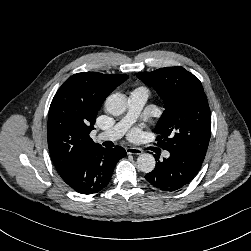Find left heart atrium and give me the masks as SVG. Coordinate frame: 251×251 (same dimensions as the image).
<instances>
[{
    "label": "left heart atrium",
    "instance_id": "1",
    "mask_svg": "<svg viewBox=\"0 0 251 251\" xmlns=\"http://www.w3.org/2000/svg\"><path fill=\"white\" fill-rule=\"evenodd\" d=\"M139 134H140V130H139L138 128H135V129H133V130L129 133V137H130L131 139H135V138H137V137L139 136Z\"/></svg>",
    "mask_w": 251,
    "mask_h": 251
}]
</instances>
